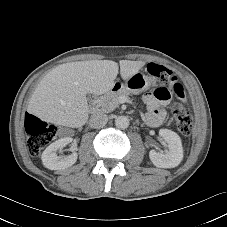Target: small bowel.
<instances>
[{
  "mask_svg": "<svg viewBox=\"0 0 227 227\" xmlns=\"http://www.w3.org/2000/svg\"><path fill=\"white\" fill-rule=\"evenodd\" d=\"M170 97L171 90L168 87H160L153 93L144 95L143 99L148 109L145 115V121L149 126L157 127L164 122L167 114L161 106L167 104Z\"/></svg>",
  "mask_w": 227,
  "mask_h": 227,
  "instance_id": "small-bowel-1",
  "label": "small bowel"
}]
</instances>
